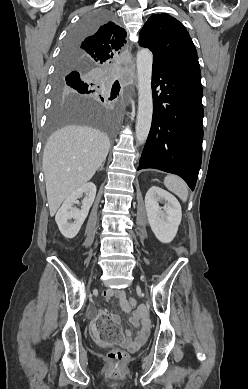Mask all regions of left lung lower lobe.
Masks as SVG:
<instances>
[{
	"label": "left lung lower lobe",
	"instance_id": "0a47b994",
	"mask_svg": "<svg viewBox=\"0 0 248 389\" xmlns=\"http://www.w3.org/2000/svg\"><path fill=\"white\" fill-rule=\"evenodd\" d=\"M160 87V91L157 88ZM152 125L138 170L155 168L182 177L194 190L202 161L201 72L187 63L152 68Z\"/></svg>",
	"mask_w": 248,
	"mask_h": 389
}]
</instances>
